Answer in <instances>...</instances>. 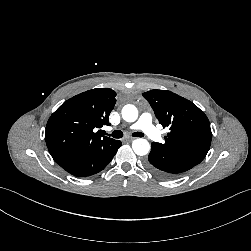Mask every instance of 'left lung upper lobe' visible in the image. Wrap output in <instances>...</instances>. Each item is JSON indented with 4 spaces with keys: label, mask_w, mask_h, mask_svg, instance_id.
Masks as SVG:
<instances>
[{
    "label": "left lung upper lobe",
    "mask_w": 251,
    "mask_h": 251,
    "mask_svg": "<svg viewBox=\"0 0 251 251\" xmlns=\"http://www.w3.org/2000/svg\"><path fill=\"white\" fill-rule=\"evenodd\" d=\"M163 127H170L165 143L153 144L200 163L209 151L212 133L207 116L191 101L167 90L142 94Z\"/></svg>",
    "instance_id": "obj_1"
}]
</instances>
